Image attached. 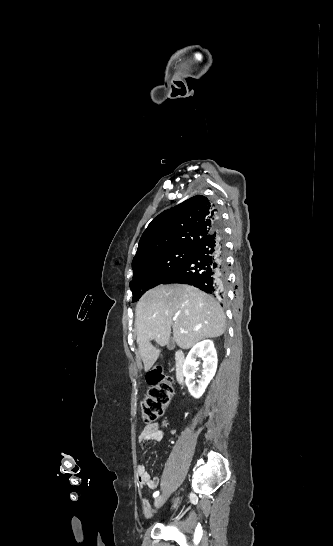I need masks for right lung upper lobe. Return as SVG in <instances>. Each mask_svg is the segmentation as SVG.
I'll use <instances>...</instances> for the list:
<instances>
[{"label": "right lung upper lobe", "instance_id": "cb5924a9", "mask_svg": "<svg viewBox=\"0 0 333 546\" xmlns=\"http://www.w3.org/2000/svg\"><path fill=\"white\" fill-rule=\"evenodd\" d=\"M216 216L215 204L203 195L191 197L165 210L142 234L132 268L163 251L193 247L218 226Z\"/></svg>", "mask_w": 333, "mask_h": 546}]
</instances>
